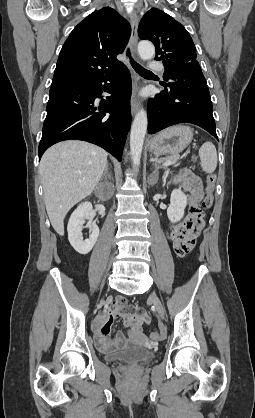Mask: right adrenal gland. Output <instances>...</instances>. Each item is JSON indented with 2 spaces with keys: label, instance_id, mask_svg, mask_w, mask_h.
Returning <instances> with one entry per match:
<instances>
[{
  "label": "right adrenal gland",
  "instance_id": "2a0ac1e0",
  "mask_svg": "<svg viewBox=\"0 0 255 418\" xmlns=\"http://www.w3.org/2000/svg\"><path fill=\"white\" fill-rule=\"evenodd\" d=\"M103 177H105V178H111V174L109 173V166H108V164L106 165V168H105V172L103 174Z\"/></svg>",
  "mask_w": 255,
  "mask_h": 418
}]
</instances>
